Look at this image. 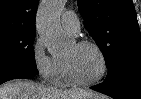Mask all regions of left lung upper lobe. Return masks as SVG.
<instances>
[{
  "instance_id": "1",
  "label": "left lung upper lobe",
  "mask_w": 141,
  "mask_h": 99,
  "mask_svg": "<svg viewBox=\"0 0 141 99\" xmlns=\"http://www.w3.org/2000/svg\"><path fill=\"white\" fill-rule=\"evenodd\" d=\"M86 29L102 51L108 80L141 70V34L132 0H78Z\"/></svg>"
}]
</instances>
